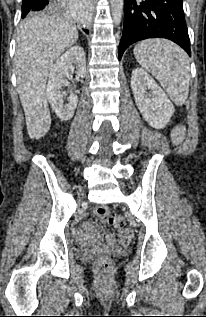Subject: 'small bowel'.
<instances>
[{
    "mask_svg": "<svg viewBox=\"0 0 206 317\" xmlns=\"http://www.w3.org/2000/svg\"><path fill=\"white\" fill-rule=\"evenodd\" d=\"M74 233L77 239L81 243H86L88 240H90L94 236L101 237L103 234V231H102V228L98 225H81L75 228ZM130 237H131L130 230L126 228L122 229L121 240L123 242H126L130 239Z\"/></svg>",
    "mask_w": 206,
    "mask_h": 317,
    "instance_id": "c3829d8e",
    "label": "small bowel"
}]
</instances>
